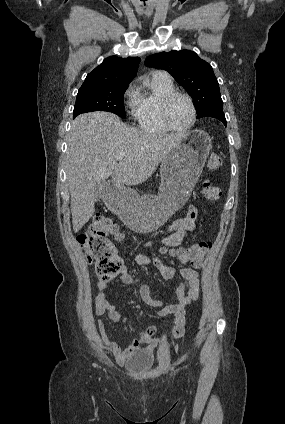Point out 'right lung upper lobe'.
<instances>
[{
	"label": "right lung upper lobe",
	"instance_id": "obj_1",
	"mask_svg": "<svg viewBox=\"0 0 285 424\" xmlns=\"http://www.w3.org/2000/svg\"><path fill=\"white\" fill-rule=\"evenodd\" d=\"M139 63V57L110 56L87 75L81 88L129 84L136 76Z\"/></svg>",
	"mask_w": 285,
	"mask_h": 424
}]
</instances>
